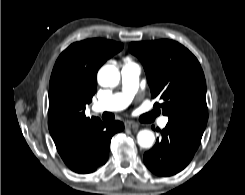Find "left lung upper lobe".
Here are the masks:
<instances>
[{"mask_svg":"<svg viewBox=\"0 0 245 195\" xmlns=\"http://www.w3.org/2000/svg\"><path fill=\"white\" fill-rule=\"evenodd\" d=\"M129 50L142 62L152 97L162 103L170 122L203 130L208 119L206 82L197 58L172 40L131 42Z\"/></svg>","mask_w":245,"mask_h":195,"instance_id":"obj_1","label":"left lung upper lobe"}]
</instances>
